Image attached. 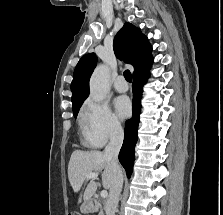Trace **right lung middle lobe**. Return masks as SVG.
I'll return each instance as SVG.
<instances>
[{
  "label": "right lung middle lobe",
  "mask_w": 223,
  "mask_h": 215,
  "mask_svg": "<svg viewBox=\"0 0 223 215\" xmlns=\"http://www.w3.org/2000/svg\"><path fill=\"white\" fill-rule=\"evenodd\" d=\"M79 108H80V107H78V108H76V109H73V112H74V116H77V114H78V111H79Z\"/></svg>",
  "instance_id": "obj_1"
}]
</instances>
